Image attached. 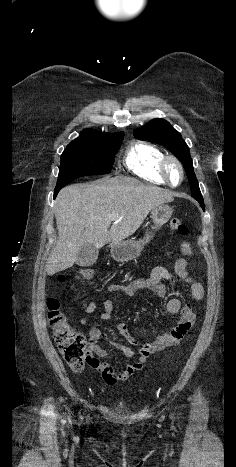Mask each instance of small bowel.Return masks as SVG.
Listing matches in <instances>:
<instances>
[{"label": "small bowel", "instance_id": "c3829d8e", "mask_svg": "<svg viewBox=\"0 0 236 467\" xmlns=\"http://www.w3.org/2000/svg\"><path fill=\"white\" fill-rule=\"evenodd\" d=\"M182 257L178 259L174 265L173 272L164 266H154L150 268L146 278H137L128 284H111L106 288L109 294L122 293L126 296H133L137 292L148 289L156 293L159 297H164L166 293L164 281H173L175 278L183 280L191 293L194 300L200 301L204 297L203 285L194 279L188 272L190 263L188 258L191 256V247L188 242H184L181 246ZM104 310L101 313V318L108 320L112 318L113 300L106 298L103 303ZM96 308V302L90 301L84 305L86 314H91ZM166 310L169 313L179 314L173 327L164 335L159 336L151 343H143L140 347L138 358L135 362L128 364L122 370L114 369L111 364L103 362L102 358L106 356V351L100 347L99 340L101 338L107 339L115 348L120 350L125 356L133 357L134 351L110 338L103 333L99 328L92 327L89 330V360L88 366L100 372L102 379L108 385H113L117 381H126L133 375L139 373L148 357L158 351L176 346L180 340L189 332L194 321L195 316L192 311L191 304H183L180 298H171L166 303ZM89 318L87 316L80 319L82 326H87ZM119 335L130 344H138V340L134 338L129 327L124 322L116 324Z\"/></svg>", "mask_w": 236, "mask_h": 467}]
</instances>
